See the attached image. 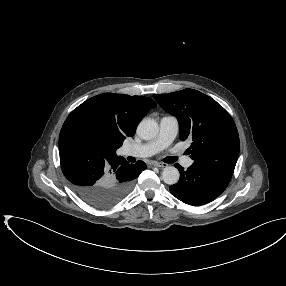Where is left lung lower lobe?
<instances>
[{
	"instance_id": "1",
	"label": "left lung lower lobe",
	"mask_w": 286,
	"mask_h": 286,
	"mask_svg": "<svg viewBox=\"0 0 286 286\" xmlns=\"http://www.w3.org/2000/svg\"><path fill=\"white\" fill-rule=\"evenodd\" d=\"M178 183L169 187L177 199L188 205H204L217 198L230 183V176L214 169L191 165L187 171L179 164Z\"/></svg>"
}]
</instances>
